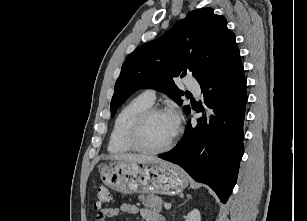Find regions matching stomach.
Wrapping results in <instances>:
<instances>
[{
  "label": "stomach",
  "instance_id": "0dacf381",
  "mask_svg": "<svg viewBox=\"0 0 307 221\" xmlns=\"http://www.w3.org/2000/svg\"><path fill=\"white\" fill-rule=\"evenodd\" d=\"M104 184L123 194L160 193L175 195L188 186L184 171L165 161H114L100 171Z\"/></svg>",
  "mask_w": 307,
  "mask_h": 221
}]
</instances>
